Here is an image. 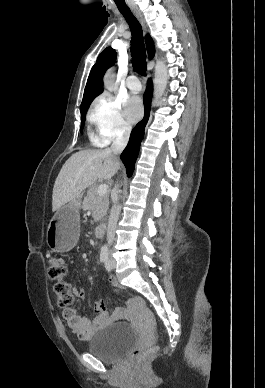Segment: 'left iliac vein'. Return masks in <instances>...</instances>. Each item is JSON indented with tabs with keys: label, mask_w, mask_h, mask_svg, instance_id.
Here are the masks:
<instances>
[{
	"label": "left iliac vein",
	"mask_w": 265,
	"mask_h": 388,
	"mask_svg": "<svg viewBox=\"0 0 265 388\" xmlns=\"http://www.w3.org/2000/svg\"><path fill=\"white\" fill-rule=\"evenodd\" d=\"M107 267H109L111 269L115 268V261L112 258H110V260L107 264Z\"/></svg>",
	"instance_id": "obj_1"
}]
</instances>
